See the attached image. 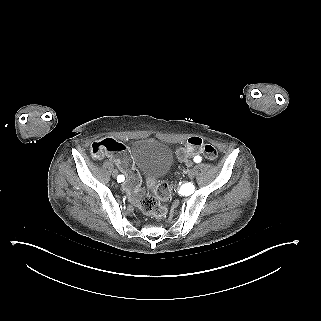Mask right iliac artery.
Returning <instances> with one entry per match:
<instances>
[{
    "label": "right iliac artery",
    "mask_w": 321,
    "mask_h": 321,
    "mask_svg": "<svg viewBox=\"0 0 321 321\" xmlns=\"http://www.w3.org/2000/svg\"><path fill=\"white\" fill-rule=\"evenodd\" d=\"M117 180H118V182L124 181V176L123 175H119Z\"/></svg>",
    "instance_id": "82829eb1"
}]
</instances>
